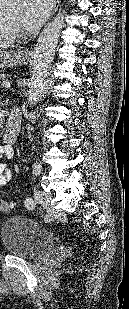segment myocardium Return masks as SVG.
<instances>
[{"label": "myocardium", "instance_id": "f54148a6", "mask_svg": "<svg viewBox=\"0 0 129 309\" xmlns=\"http://www.w3.org/2000/svg\"><path fill=\"white\" fill-rule=\"evenodd\" d=\"M5 20L6 23L9 27V29L11 30V32L13 33V35L15 36H20L22 34V29L17 26L16 24H14L8 17L5 16Z\"/></svg>", "mask_w": 129, "mask_h": 309}]
</instances>
